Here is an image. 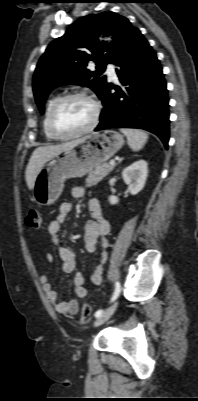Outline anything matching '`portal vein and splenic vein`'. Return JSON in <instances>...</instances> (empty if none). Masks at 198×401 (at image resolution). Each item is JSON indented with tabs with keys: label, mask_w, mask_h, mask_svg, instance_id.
Segmentation results:
<instances>
[{
	"label": "portal vein and splenic vein",
	"mask_w": 198,
	"mask_h": 401,
	"mask_svg": "<svg viewBox=\"0 0 198 401\" xmlns=\"http://www.w3.org/2000/svg\"><path fill=\"white\" fill-rule=\"evenodd\" d=\"M110 165H115V161H114V160H111V161H110Z\"/></svg>",
	"instance_id": "18ae733b"
}]
</instances>
